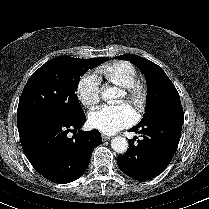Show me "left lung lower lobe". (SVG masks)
I'll return each mask as SVG.
<instances>
[{
	"instance_id": "1",
	"label": "left lung lower lobe",
	"mask_w": 209,
	"mask_h": 209,
	"mask_svg": "<svg viewBox=\"0 0 209 209\" xmlns=\"http://www.w3.org/2000/svg\"><path fill=\"white\" fill-rule=\"evenodd\" d=\"M184 115H164L138 124L131 131L141 134L142 140L117 158L120 169L128 176L144 181L161 174L173 158L181 136Z\"/></svg>"
}]
</instances>
